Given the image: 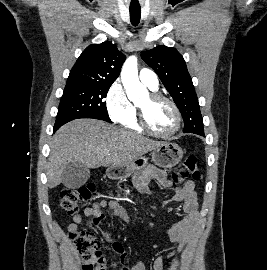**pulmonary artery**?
Returning <instances> with one entry per match:
<instances>
[{
    "label": "pulmonary artery",
    "mask_w": 267,
    "mask_h": 270,
    "mask_svg": "<svg viewBox=\"0 0 267 270\" xmlns=\"http://www.w3.org/2000/svg\"><path fill=\"white\" fill-rule=\"evenodd\" d=\"M140 80L151 89H157L159 80L156 73L148 68H143L139 72Z\"/></svg>",
    "instance_id": "e3ab8cb5"
}]
</instances>
